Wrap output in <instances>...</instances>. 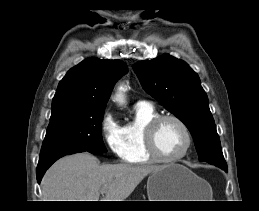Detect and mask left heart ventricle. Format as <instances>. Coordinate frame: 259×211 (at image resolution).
I'll list each match as a JSON object with an SVG mask.
<instances>
[{"label": "left heart ventricle", "instance_id": "left-heart-ventricle-1", "mask_svg": "<svg viewBox=\"0 0 259 211\" xmlns=\"http://www.w3.org/2000/svg\"><path fill=\"white\" fill-rule=\"evenodd\" d=\"M156 144L163 156L174 157L185 148L186 137L176 122L166 120L157 129Z\"/></svg>", "mask_w": 259, "mask_h": 211}]
</instances>
